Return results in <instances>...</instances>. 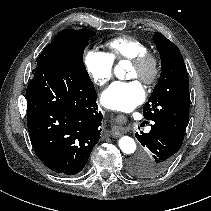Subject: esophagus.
Wrapping results in <instances>:
<instances>
[{
	"mask_svg": "<svg viewBox=\"0 0 211 211\" xmlns=\"http://www.w3.org/2000/svg\"><path fill=\"white\" fill-rule=\"evenodd\" d=\"M114 129H115L116 131H118V132L114 133V136H115V137H118V136L120 135V132H119L120 128H119L118 126H115Z\"/></svg>",
	"mask_w": 211,
	"mask_h": 211,
	"instance_id": "34e87169",
	"label": "esophagus"
}]
</instances>
